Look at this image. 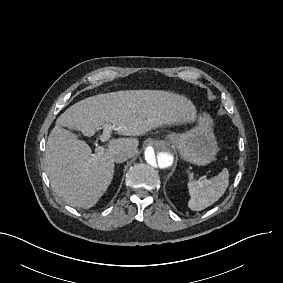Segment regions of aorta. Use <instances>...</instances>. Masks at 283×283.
<instances>
[{
  "instance_id": "762f6f07",
  "label": "aorta",
  "mask_w": 283,
  "mask_h": 283,
  "mask_svg": "<svg viewBox=\"0 0 283 283\" xmlns=\"http://www.w3.org/2000/svg\"><path fill=\"white\" fill-rule=\"evenodd\" d=\"M144 160L151 171L163 174L175 163L174 151L166 141L152 140L145 149Z\"/></svg>"
}]
</instances>
